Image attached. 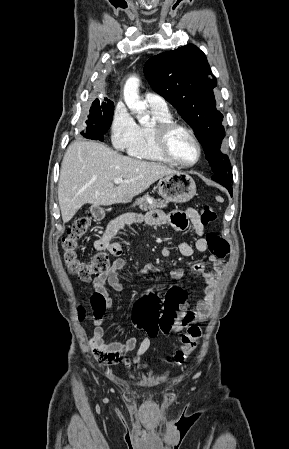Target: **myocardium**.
Wrapping results in <instances>:
<instances>
[{"instance_id": "myocardium-1", "label": "myocardium", "mask_w": 289, "mask_h": 449, "mask_svg": "<svg viewBox=\"0 0 289 449\" xmlns=\"http://www.w3.org/2000/svg\"><path fill=\"white\" fill-rule=\"evenodd\" d=\"M178 130L184 131L192 139L197 147V158L191 163L178 160L171 151L170 138ZM154 136L159 152L171 163L181 167H192L196 165L202 157V145L192 129L176 121L158 122L153 126Z\"/></svg>"}]
</instances>
